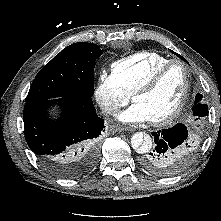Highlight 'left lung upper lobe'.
Returning a JSON list of instances; mask_svg holds the SVG:
<instances>
[{
	"instance_id": "obj_1",
	"label": "left lung upper lobe",
	"mask_w": 221,
	"mask_h": 221,
	"mask_svg": "<svg viewBox=\"0 0 221 221\" xmlns=\"http://www.w3.org/2000/svg\"><path fill=\"white\" fill-rule=\"evenodd\" d=\"M203 96L201 94H197L195 97L194 104L191 108L192 115L194 116V120L197 121L198 126L201 127V123L208 115V106L203 103Z\"/></svg>"
}]
</instances>
